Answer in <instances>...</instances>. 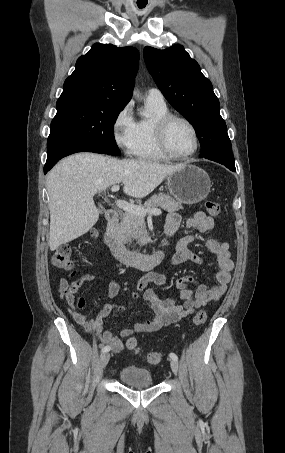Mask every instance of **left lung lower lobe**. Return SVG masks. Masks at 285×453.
I'll use <instances>...</instances> for the list:
<instances>
[{
  "mask_svg": "<svg viewBox=\"0 0 285 453\" xmlns=\"http://www.w3.org/2000/svg\"><path fill=\"white\" fill-rule=\"evenodd\" d=\"M206 159L218 162L222 165H225L227 168H229L231 171H236L235 169V163L234 159L228 158L222 154H212L210 156L204 157Z\"/></svg>",
  "mask_w": 285,
  "mask_h": 453,
  "instance_id": "0a47b994",
  "label": "left lung lower lobe"
}]
</instances>
